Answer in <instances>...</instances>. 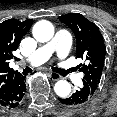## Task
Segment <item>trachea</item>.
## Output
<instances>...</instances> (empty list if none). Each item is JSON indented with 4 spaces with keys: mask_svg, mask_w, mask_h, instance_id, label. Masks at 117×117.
<instances>
[{
    "mask_svg": "<svg viewBox=\"0 0 117 117\" xmlns=\"http://www.w3.org/2000/svg\"><path fill=\"white\" fill-rule=\"evenodd\" d=\"M31 71H32V70H31L30 68H26V69L24 70L25 74L28 73V72H31ZM70 71H72V70H67V71H65V70H57V72H58L59 74H61V75H66V74L69 73Z\"/></svg>",
    "mask_w": 117,
    "mask_h": 117,
    "instance_id": "1",
    "label": "trachea"
}]
</instances>
